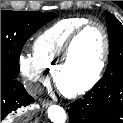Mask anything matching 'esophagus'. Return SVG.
<instances>
[{"mask_svg":"<svg viewBox=\"0 0 123 123\" xmlns=\"http://www.w3.org/2000/svg\"><path fill=\"white\" fill-rule=\"evenodd\" d=\"M41 104H42L43 107H48L52 104V101L44 100V101H42Z\"/></svg>","mask_w":123,"mask_h":123,"instance_id":"1","label":"esophagus"}]
</instances>
